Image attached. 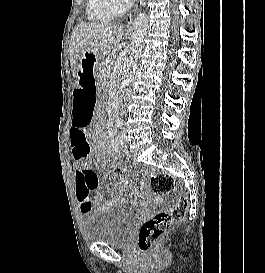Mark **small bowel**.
<instances>
[{"instance_id": "small-bowel-1", "label": "small bowel", "mask_w": 265, "mask_h": 273, "mask_svg": "<svg viewBox=\"0 0 265 273\" xmlns=\"http://www.w3.org/2000/svg\"><path fill=\"white\" fill-rule=\"evenodd\" d=\"M95 91H76L74 97V118L72 119L70 130L71 152L74 162L77 166L76 171V198L80 212L84 215L94 208L102 206L103 195L98 191V181L101 177V170L97 166H101L103 162H97L92 165L94 158L91 152V145L88 140L87 127L88 122L93 116L94 102H96ZM102 154L110 159L112 154L107 146L100 147ZM126 185L127 182L124 181ZM134 189L132 193H136ZM123 198L117 197L110 199L105 206L109 207L114 203H122Z\"/></svg>"}]
</instances>
